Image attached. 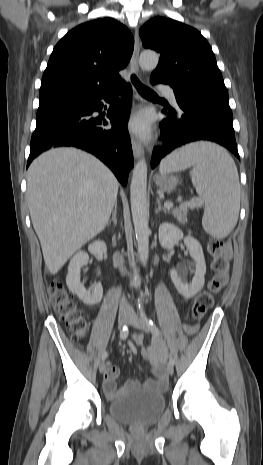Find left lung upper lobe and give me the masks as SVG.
Listing matches in <instances>:
<instances>
[{
	"mask_svg": "<svg viewBox=\"0 0 263 465\" xmlns=\"http://www.w3.org/2000/svg\"><path fill=\"white\" fill-rule=\"evenodd\" d=\"M139 33L145 48L161 54L151 78L171 87H186L197 100H228L214 53L199 31L173 19L155 17Z\"/></svg>",
	"mask_w": 263,
	"mask_h": 465,
	"instance_id": "left-lung-upper-lobe-1",
	"label": "left lung upper lobe"
}]
</instances>
